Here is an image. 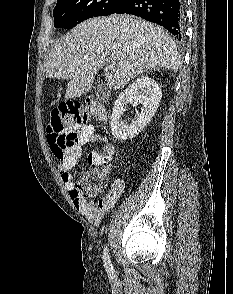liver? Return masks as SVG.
Segmentation results:
<instances>
[{
	"label": "liver",
	"mask_w": 233,
	"mask_h": 294,
	"mask_svg": "<svg viewBox=\"0 0 233 294\" xmlns=\"http://www.w3.org/2000/svg\"><path fill=\"white\" fill-rule=\"evenodd\" d=\"M114 64L105 74L107 84L122 89L148 69L178 70L182 58L174 40L160 26L130 15H111L84 21L51 50L45 62L47 78L69 80L65 97L88 93L96 73Z\"/></svg>",
	"instance_id": "6515ba94"
}]
</instances>
